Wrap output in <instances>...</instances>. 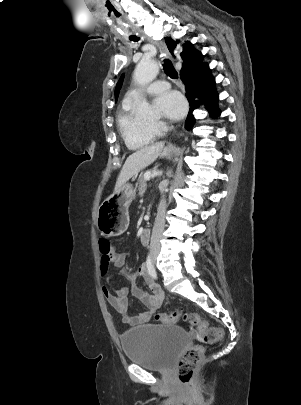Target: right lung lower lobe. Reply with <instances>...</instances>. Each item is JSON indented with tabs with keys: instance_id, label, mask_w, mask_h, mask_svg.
Masks as SVG:
<instances>
[{
	"instance_id": "98d812e1",
	"label": "right lung lower lobe",
	"mask_w": 301,
	"mask_h": 405,
	"mask_svg": "<svg viewBox=\"0 0 301 405\" xmlns=\"http://www.w3.org/2000/svg\"><path fill=\"white\" fill-rule=\"evenodd\" d=\"M181 80L186 87V97L190 104V110L185 122L187 129H191L195 123L192 115L194 109L204 102L212 117L217 118L220 110L217 106L218 93L215 90V79L212 77L209 67L205 63L198 62L192 67L181 71ZM200 97V100L196 98Z\"/></svg>"
}]
</instances>
